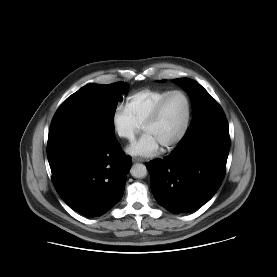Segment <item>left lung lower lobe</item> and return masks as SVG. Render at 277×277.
Wrapping results in <instances>:
<instances>
[{
  "instance_id": "obj_1",
  "label": "left lung lower lobe",
  "mask_w": 277,
  "mask_h": 277,
  "mask_svg": "<svg viewBox=\"0 0 277 277\" xmlns=\"http://www.w3.org/2000/svg\"><path fill=\"white\" fill-rule=\"evenodd\" d=\"M229 149L228 122L223 120L202 127L164 159L148 162L155 199L172 213L203 206L223 181Z\"/></svg>"
}]
</instances>
